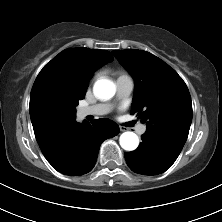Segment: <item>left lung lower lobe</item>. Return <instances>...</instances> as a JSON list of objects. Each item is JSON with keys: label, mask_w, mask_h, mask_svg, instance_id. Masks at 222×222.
Segmentation results:
<instances>
[{"label": "left lung lower lobe", "mask_w": 222, "mask_h": 222, "mask_svg": "<svg viewBox=\"0 0 222 222\" xmlns=\"http://www.w3.org/2000/svg\"><path fill=\"white\" fill-rule=\"evenodd\" d=\"M183 128L171 126L167 133L147 130L143 142L133 152L124 154L129 168L138 174L156 175L166 171L177 159L181 148L177 145L186 141Z\"/></svg>", "instance_id": "0a47b994"}]
</instances>
